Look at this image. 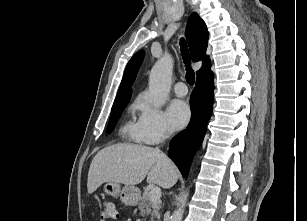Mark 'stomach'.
I'll return each instance as SVG.
<instances>
[{
    "mask_svg": "<svg viewBox=\"0 0 307 221\" xmlns=\"http://www.w3.org/2000/svg\"><path fill=\"white\" fill-rule=\"evenodd\" d=\"M104 192L108 196L120 197L121 201L130 206H134L140 199V191L134 186H121L117 182H107L104 185Z\"/></svg>",
    "mask_w": 307,
    "mask_h": 221,
    "instance_id": "0dacf381",
    "label": "stomach"
}]
</instances>
